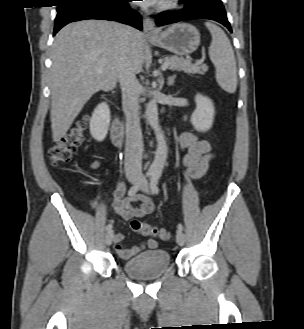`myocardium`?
<instances>
[{
  "instance_id": "f54148a6",
  "label": "myocardium",
  "mask_w": 304,
  "mask_h": 329,
  "mask_svg": "<svg viewBox=\"0 0 304 329\" xmlns=\"http://www.w3.org/2000/svg\"><path fill=\"white\" fill-rule=\"evenodd\" d=\"M179 0H162L158 5L157 9L159 11H167L174 9L178 6Z\"/></svg>"
}]
</instances>
